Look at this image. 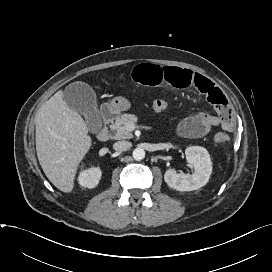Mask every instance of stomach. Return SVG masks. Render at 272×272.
Listing matches in <instances>:
<instances>
[{
  "label": "stomach",
  "instance_id": "stomach-1",
  "mask_svg": "<svg viewBox=\"0 0 272 272\" xmlns=\"http://www.w3.org/2000/svg\"><path fill=\"white\" fill-rule=\"evenodd\" d=\"M109 108L115 113H120L131 108V103L124 97H115L109 103Z\"/></svg>",
  "mask_w": 272,
  "mask_h": 272
}]
</instances>
